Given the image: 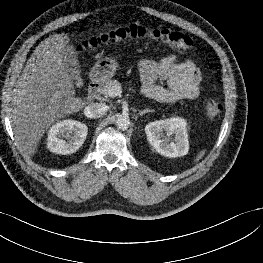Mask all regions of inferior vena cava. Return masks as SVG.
Masks as SVG:
<instances>
[{
    "mask_svg": "<svg viewBox=\"0 0 263 263\" xmlns=\"http://www.w3.org/2000/svg\"><path fill=\"white\" fill-rule=\"evenodd\" d=\"M107 111V106L102 103L92 102L85 109L84 114L88 118H99Z\"/></svg>",
    "mask_w": 263,
    "mask_h": 263,
    "instance_id": "1",
    "label": "inferior vena cava"
}]
</instances>
